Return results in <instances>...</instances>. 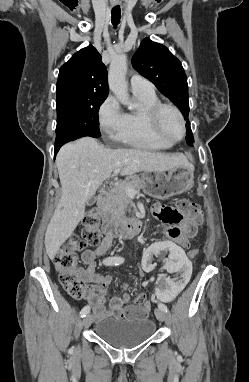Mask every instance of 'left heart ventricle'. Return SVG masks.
Listing matches in <instances>:
<instances>
[{"instance_id":"1","label":"left heart ventricle","mask_w":249,"mask_h":382,"mask_svg":"<svg viewBox=\"0 0 249 382\" xmlns=\"http://www.w3.org/2000/svg\"><path fill=\"white\" fill-rule=\"evenodd\" d=\"M161 125L165 133L172 137L178 138L182 134V126L177 115L171 110H164L161 116Z\"/></svg>"}]
</instances>
